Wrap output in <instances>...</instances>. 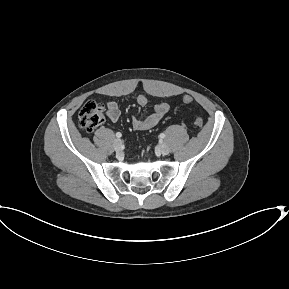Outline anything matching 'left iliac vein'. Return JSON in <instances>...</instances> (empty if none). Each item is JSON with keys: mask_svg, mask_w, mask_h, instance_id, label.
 <instances>
[{"mask_svg": "<svg viewBox=\"0 0 289 289\" xmlns=\"http://www.w3.org/2000/svg\"><path fill=\"white\" fill-rule=\"evenodd\" d=\"M158 149H159V152L163 155H167L170 152L168 145L165 143L160 144Z\"/></svg>", "mask_w": 289, "mask_h": 289, "instance_id": "1", "label": "left iliac vein"}]
</instances>
